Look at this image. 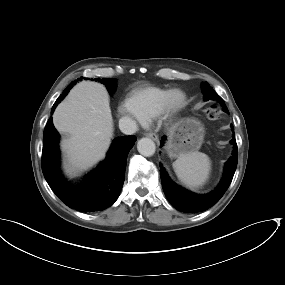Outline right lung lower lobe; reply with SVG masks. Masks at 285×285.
<instances>
[{
  "label": "right lung lower lobe",
  "instance_id": "right-lung-lower-lobe-1",
  "mask_svg": "<svg viewBox=\"0 0 285 285\" xmlns=\"http://www.w3.org/2000/svg\"><path fill=\"white\" fill-rule=\"evenodd\" d=\"M74 84L68 86L56 100L52 112ZM136 141L135 136H123L113 140L103 162L77 186H70L59 169V133L52 118L43 134L42 171L53 192L70 208L82 212H94L110 207L119 197L125 177L126 160Z\"/></svg>",
  "mask_w": 285,
  "mask_h": 285
}]
</instances>
